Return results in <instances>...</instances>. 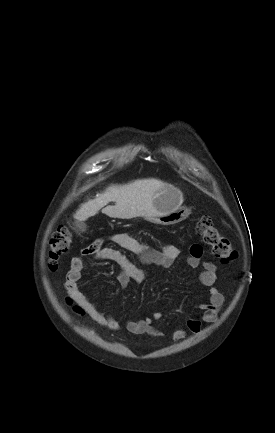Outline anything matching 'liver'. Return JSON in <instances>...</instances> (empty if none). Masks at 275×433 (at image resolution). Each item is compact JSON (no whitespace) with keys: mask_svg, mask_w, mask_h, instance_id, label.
I'll return each instance as SVG.
<instances>
[{"mask_svg":"<svg viewBox=\"0 0 275 433\" xmlns=\"http://www.w3.org/2000/svg\"><path fill=\"white\" fill-rule=\"evenodd\" d=\"M166 185L158 179L151 178L135 180L125 185L110 186L96 198L82 204L74 214V218L80 222L86 221L89 217L96 215L109 202H115V205L102 209V213L109 217L131 219L141 216L151 218L157 215L153 204L154 193Z\"/></svg>","mask_w":275,"mask_h":433,"instance_id":"liver-1","label":"liver"}]
</instances>
